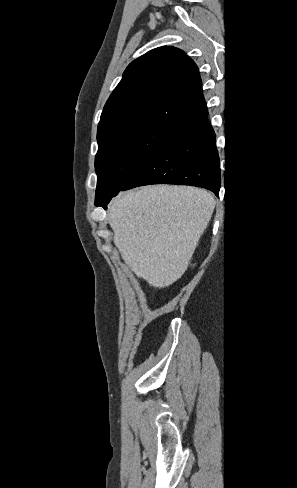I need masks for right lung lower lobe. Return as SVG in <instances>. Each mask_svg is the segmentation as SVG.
Listing matches in <instances>:
<instances>
[{
    "instance_id": "right-lung-lower-lobe-1",
    "label": "right lung lower lobe",
    "mask_w": 297,
    "mask_h": 488,
    "mask_svg": "<svg viewBox=\"0 0 297 488\" xmlns=\"http://www.w3.org/2000/svg\"><path fill=\"white\" fill-rule=\"evenodd\" d=\"M215 137L208 111L171 130L121 190L181 184L203 187L218 196L220 167ZM108 203L100 206L106 209Z\"/></svg>"
}]
</instances>
